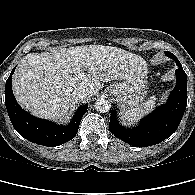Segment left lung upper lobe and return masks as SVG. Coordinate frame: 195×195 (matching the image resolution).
<instances>
[{"mask_svg": "<svg viewBox=\"0 0 195 195\" xmlns=\"http://www.w3.org/2000/svg\"><path fill=\"white\" fill-rule=\"evenodd\" d=\"M165 53L167 54L166 56H169L172 59L175 58V56L171 52L166 51Z\"/></svg>", "mask_w": 195, "mask_h": 195, "instance_id": "obj_1", "label": "left lung upper lobe"}]
</instances>
